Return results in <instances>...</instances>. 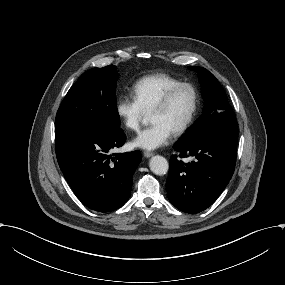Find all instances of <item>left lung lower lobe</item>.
Masks as SVG:
<instances>
[{
  "instance_id": "obj_1",
  "label": "left lung lower lobe",
  "mask_w": 285,
  "mask_h": 285,
  "mask_svg": "<svg viewBox=\"0 0 285 285\" xmlns=\"http://www.w3.org/2000/svg\"><path fill=\"white\" fill-rule=\"evenodd\" d=\"M237 123L220 125L185 145L176 144L166 183L169 201L186 213L207 209L231 179L237 155ZM192 156L184 163L181 158Z\"/></svg>"
}]
</instances>
